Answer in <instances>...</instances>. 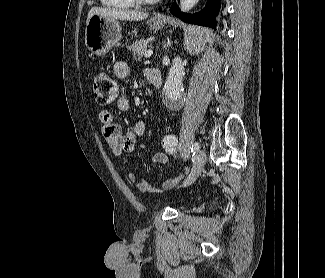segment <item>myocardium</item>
I'll list each match as a JSON object with an SVG mask.
<instances>
[{"mask_svg":"<svg viewBox=\"0 0 325 278\" xmlns=\"http://www.w3.org/2000/svg\"><path fill=\"white\" fill-rule=\"evenodd\" d=\"M137 5H149L157 2L158 0H132Z\"/></svg>","mask_w":325,"mask_h":278,"instance_id":"myocardium-1","label":"myocardium"}]
</instances>
